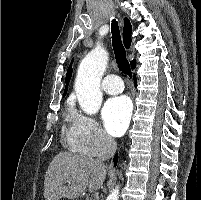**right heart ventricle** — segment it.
Listing matches in <instances>:
<instances>
[{
  "mask_svg": "<svg viewBox=\"0 0 201 200\" xmlns=\"http://www.w3.org/2000/svg\"><path fill=\"white\" fill-rule=\"evenodd\" d=\"M72 115H73V112L69 109L68 110V113H67V118L72 121ZM65 137H66V143L69 147V149H71L72 151L74 152H80L82 153L77 147L76 145L74 144L73 142V139H72V128H67L66 131H65Z\"/></svg>",
  "mask_w": 201,
  "mask_h": 200,
  "instance_id": "e07e8e85",
  "label": "right heart ventricle"
}]
</instances>
